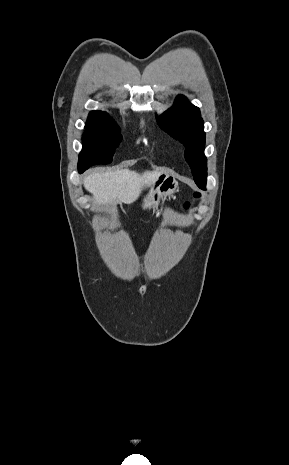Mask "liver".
Here are the masks:
<instances>
[{
    "instance_id": "liver-1",
    "label": "liver",
    "mask_w": 289,
    "mask_h": 465,
    "mask_svg": "<svg viewBox=\"0 0 289 465\" xmlns=\"http://www.w3.org/2000/svg\"><path fill=\"white\" fill-rule=\"evenodd\" d=\"M160 174L157 170L139 174L129 169L93 173L84 179V187L93 194L97 204L114 208L120 202L135 201Z\"/></svg>"
}]
</instances>
